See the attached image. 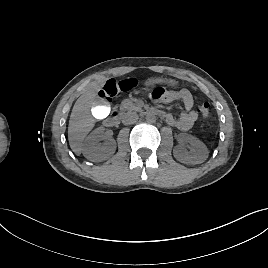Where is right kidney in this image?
I'll return each instance as SVG.
<instances>
[{"label":"right kidney","mask_w":268,"mask_h":268,"mask_svg":"<svg viewBox=\"0 0 268 268\" xmlns=\"http://www.w3.org/2000/svg\"><path fill=\"white\" fill-rule=\"evenodd\" d=\"M103 136V127H99L89 134V136L85 139L82 148L85 158L93 162H101L115 153V140L112 138H107L106 141L101 144L99 141Z\"/></svg>","instance_id":"ca27d5eb"}]
</instances>
